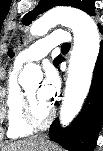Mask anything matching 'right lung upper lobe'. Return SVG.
<instances>
[{
  "mask_svg": "<svg viewBox=\"0 0 103 151\" xmlns=\"http://www.w3.org/2000/svg\"><path fill=\"white\" fill-rule=\"evenodd\" d=\"M8 55H9L10 57L13 56V53H12L11 49L9 50Z\"/></svg>",
  "mask_w": 103,
  "mask_h": 151,
  "instance_id": "1",
  "label": "right lung upper lobe"
}]
</instances>
